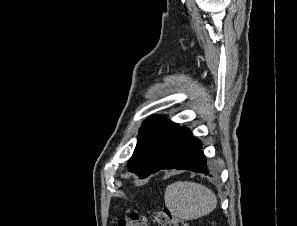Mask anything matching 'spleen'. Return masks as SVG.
<instances>
[{
  "mask_svg": "<svg viewBox=\"0 0 297 226\" xmlns=\"http://www.w3.org/2000/svg\"><path fill=\"white\" fill-rule=\"evenodd\" d=\"M164 200L172 216L183 220L198 219L217 206V197L212 190L191 181L170 184L166 188Z\"/></svg>",
  "mask_w": 297,
  "mask_h": 226,
  "instance_id": "obj_1",
  "label": "spleen"
}]
</instances>
